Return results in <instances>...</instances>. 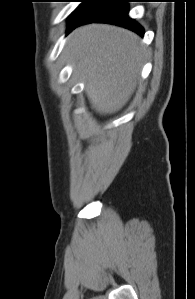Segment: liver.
I'll return each instance as SVG.
<instances>
[{"mask_svg": "<svg viewBox=\"0 0 195 299\" xmlns=\"http://www.w3.org/2000/svg\"><path fill=\"white\" fill-rule=\"evenodd\" d=\"M65 55L85 82L87 96L100 114L118 111L132 95L145 49L132 32L92 24L75 30Z\"/></svg>", "mask_w": 195, "mask_h": 299, "instance_id": "liver-1", "label": "liver"}]
</instances>
